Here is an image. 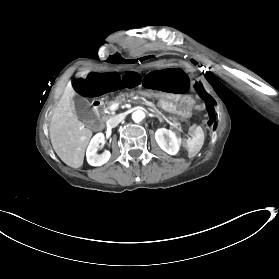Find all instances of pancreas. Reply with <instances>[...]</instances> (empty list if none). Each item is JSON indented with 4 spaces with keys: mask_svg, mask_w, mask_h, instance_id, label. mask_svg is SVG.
Returning a JSON list of instances; mask_svg holds the SVG:
<instances>
[{
    "mask_svg": "<svg viewBox=\"0 0 279 279\" xmlns=\"http://www.w3.org/2000/svg\"><path fill=\"white\" fill-rule=\"evenodd\" d=\"M130 94L121 93L114 98L112 101H108L106 103V109H110L111 105L114 103H120L123 99L130 97ZM136 101H141V96H136ZM142 105H147V108L152 109V112H157V114H162L163 117H168V119H174V114H168L167 111H163V109H157L155 104L149 103V100L142 99Z\"/></svg>",
    "mask_w": 279,
    "mask_h": 279,
    "instance_id": "1",
    "label": "pancreas"
}]
</instances>
